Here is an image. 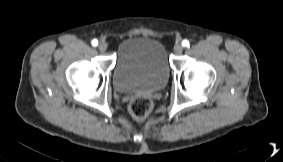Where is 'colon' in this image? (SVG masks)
<instances>
[{"mask_svg":"<svg viewBox=\"0 0 283 162\" xmlns=\"http://www.w3.org/2000/svg\"><path fill=\"white\" fill-rule=\"evenodd\" d=\"M153 109L152 101L146 96L135 97L129 105V112L136 120L145 119Z\"/></svg>","mask_w":283,"mask_h":162,"instance_id":"1","label":"colon"}]
</instances>
